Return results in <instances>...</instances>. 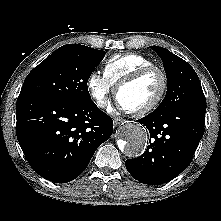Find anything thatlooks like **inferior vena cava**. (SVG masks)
Wrapping results in <instances>:
<instances>
[{"instance_id":"inferior-vena-cava-1","label":"inferior vena cava","mask_w":221,"mask_h":221,"mask_svg":"<svg viewBox=\"0 0 221 221\" xmlns=\"http://www.w3.org/2000/svg\"><path fill=\"white\" fill-rule=\"evenodd\" d=\"M103 105L105 106V105H106V102H103Z\"/></svg>"}]
</instances>
